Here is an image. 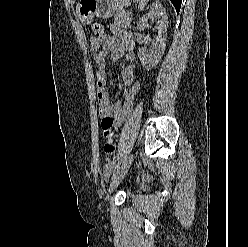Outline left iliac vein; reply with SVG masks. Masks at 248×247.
Here are the masks:
<instances>
[{
	"label": "left iliac vein",
	"instance_id": "obj_1",
	"mask_svg": "<svg viewBox=\"0 0 248 247\" xmlns=\"http://www.w3.org/2000/svg\"><path fill=\"white\" fill-rule=\"evenodd\" d=\"M133 160V154H130L123 162L122 166L118 170V172L114 175L112 178V181L109 186L108 190V198L109 195L113 192V190L119 185V183L123 180V178L126 176L128 173V170L130 168V165Z\"/></svg>",
	"mask_w": 248,
	"mask_h": 247
}]
</instances>
